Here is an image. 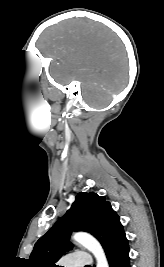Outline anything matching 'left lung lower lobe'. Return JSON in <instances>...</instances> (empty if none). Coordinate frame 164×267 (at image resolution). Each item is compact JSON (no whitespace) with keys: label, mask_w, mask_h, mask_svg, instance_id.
<instances>
[{"label":"left lung lower lobe","mask_w":164,"mask_h":267,"mask_svg":"<svg viewBox=\"0 0 164 267\" xmlns=\"http://www.w3.org/2000/svg\"><path fill=\"white\" fill-rule=\"evenodd\" d=\"M102 246L106 253L109 267H130L128 240L122 225L110 235Z\"/></svg>","instance_id":"0a47b994"}]
</instances>
